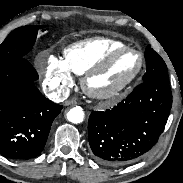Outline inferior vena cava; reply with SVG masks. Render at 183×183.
Wrapping results in <instances>:
<instances>
[{"instance_id": "inferior-vena-cava-1", "label": "inferior vena cava", "mask_w": 183, "mask_h": 183, "mask_svg": "<svg viewBox=\"0 0 183 183\" xmlns=\"http://www.w3.org/2000/svg\"><path fill=\"white\" fill-rule=\"evenodd\" d=\"M47 97L53 102H63L69 96L68 89H58L56 91L45 90Z\"/></svg>"}]
</instances>
